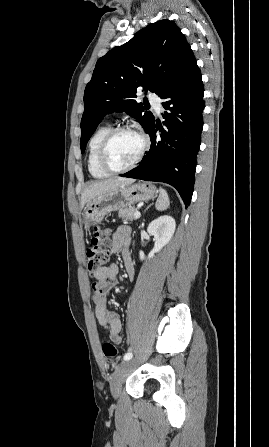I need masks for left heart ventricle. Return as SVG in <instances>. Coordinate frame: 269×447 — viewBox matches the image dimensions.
Here are the masks:
<instances>
[{"label":"left heart ventricle","instance_id":"obj_1","mask_svg":"<svg viewBox=\"0 0 269 447\" xmlns=\"http://www.w3.org/2000/svg\"><path fill=\"white\" fill-rule=\"evenodd\" d=\"M142 147L143 138L138 132H119L110 143L108 160L114 167H125L136 159Z\"/></svg>","mask_w":269,"mask_h":447}]
</instances>
